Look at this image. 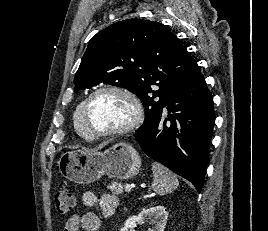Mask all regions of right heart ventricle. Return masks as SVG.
Masks as SVG:
<instances>
[{
  "label": "right heart ventricle",
  "instance_id": "right-heart-ventricle-1",
  "mask_svg": "<svg viewBox=\"0 0 268 231\" xmlns=\"http://www.w3.org/2000/svg\"><path fill=\"white\" fill-rule=\"evenodd\" d=\"M82 105L83 102L77 105L74 113H73V123H74V128L75 131L82 136L83 138L87 139L88 134L86 132V129L83 124V119H82Z\"/></svg>",
  "mask_w": 268,
  "mask_h": 231
}]
</instances>
